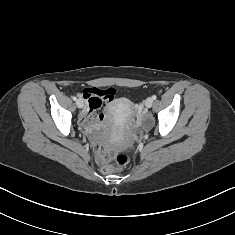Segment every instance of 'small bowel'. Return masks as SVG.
Instances as JSON below:
<instances>
[{"mask_svg":"<svg viewBox=\"0 0 235 235\" xmlns=\"http://www.w3.org/2000/svg\"><path fill=\"white\" fill-rule=\"evenodd\" d=\"M103 90L97 88H85L80 96L85 100V108L80 115L82 126L87 130H94L100 127L113 126L117 123L118 117L128 118L131 114V103L125 97L104 98ZM105 111L96 113L103 105Z\"/></svg>","mask_w":235,"mask_h":235,"instance_id":"c3829d8e","label":"small bowel"}]
</instances>
